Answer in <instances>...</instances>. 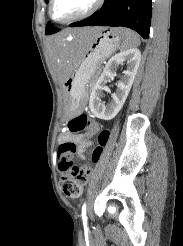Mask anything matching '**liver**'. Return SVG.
I'll return each instance as SVG.
<instances>
[{"instance_id":"obj_1","label":"liver","mask_w":183,"mask_h":246,"mask_svg":"<svg viewBox=\"0 0 183 246\" xmlns=\"http://www.w3.org/2000/svg\"><path fill=\"white\" fill-rule=\"evenodd\" d=\"M99 30H101L100 27L67 29L49 39L48 50L61 83H64L72 74L78 51L76 48L70 49L65 45L66 36L74 35L79 41L92 40Z\"/></svg>"}]
</instances>
